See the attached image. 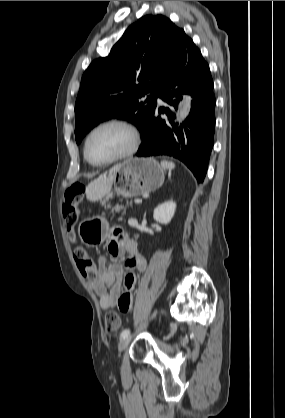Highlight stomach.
Segmentation results:
<instances>
[{"instance_id": "0dacf381", "label": "stomach", "mask_w": 285, "mask_h": 418, "mask_svg": "<svg viewBox=\"0 0 285 418\" xmlns=\"http://www.w3.org/2000/svg\"><path fill=\"white\" fill-rule=\"evenodd\" d=\"M115 191L123 197H135L159 188L165 178L164 168L153 158H129L113 172ZM109 224L102 216L83 220L78 234L85 244H101L107 238Z\"/></svg>"}]
</instances>
